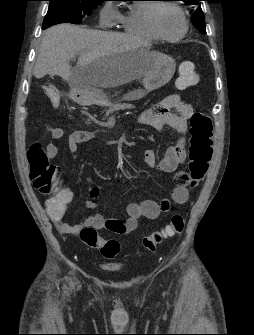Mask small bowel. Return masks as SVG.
<instances>
[{"label": "small bowel", "instance_id": "small-bowel-1", "mask_svg": "<svg viewBox=\"0 0 254 335\" xmlns=\"http://www.w3.org/2000/svg\"><path fill=\"white\" fill-rule=\"evenodd\" d=\"M193 114L191 104L184 101L178 94H171L161 102L154 105L146 111L141 117V123L154 129L172 128L179 135L178 141L170 146L163 158L157 162L153 150L148 149L144 152V162L149 167H157L165 173H175V186L170 193V200L163 199L160 202L145 200L141 203H129L127 206V217L125 220L106 217L101 213L88 216L83 222L69 224L63 221L66 212V206L73 199V193L70 189L56 191L55 197L47 201L48 215L55 224L57 230L63 235H76L85 227H93L96 230H108L118 235H124L135 231L138 227L140 218L149 220L157 219L160 214L168 212L171 207V201L177 204H184L189 199V176L183 171H178L177 167L185 162L186 149L184 136L187 128V121ZM53 140H61L65 136L62 128L55 127L50 131ZM93 138L89 131L78 130L68 135V149L71 153H76L82 143L88 142ZM46 154L49 159H53L58 154V148L54 143L46 145ZM35 185V178H32ZM35 187L39 188L37 185ZM98 196L96 189L91 191L90 199L85 202L88 209H95L97 203L95 198ZM51 201L60 202L61 207L58 211H53L48 207Z\"/></svg>", "mask_w": 254, "mask_h": 335}]
</instances>
